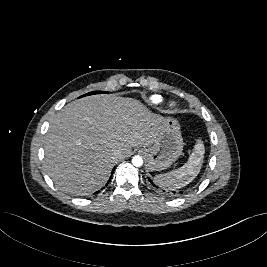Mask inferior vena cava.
I'll return each instance as SVG.
<instances>
[{
	"mask_svg": "<svg viewBox=\"0 0 267 267\" xmlns=\"http://www.w3.org/2000/svg\"><path fill=\"white\" fill-rule=\"evenodd\" d=\"M120 156H121V151L120 150L116 149V150L113 151L112 157L114 159L119 158Z\"/></svg>",
	"mask_w": 267,
	"mask_h": 267,
	"instance_id": "obj_1",
	"label": "inferior vena cava"
}]
</instances>
